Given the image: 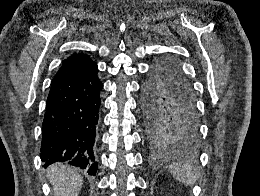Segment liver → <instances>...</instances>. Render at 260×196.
<instances>
[{
    "label": "liver",
    "mask_w": 260,
    "mask_h": 196,
    "mask_svg": "<svg viewBox=\"0 0 260 196\" xmlns=\"http://www.w3.org/2000/svg\"><path fill=\"white\" fill-rule=\"evenodd\" d=\"M47 178L53 186L54 196H79L83 186V180L73 166L65 164H53L47 170Z\"/></svg>",
    "instance_id": "6515ba94"
}]
</instances>
